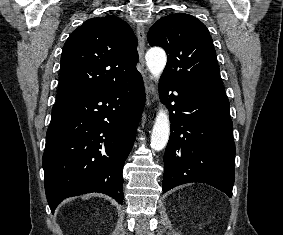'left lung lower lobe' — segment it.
Here are the masks:
<instances>
[{
    "label": "left lung lower lobe",
    "instance_id": "0a47b994",
    "mask_svg": "<svg viewBox=\"0 0 283 235\" xmlns=\"http://www.w3.org/2000/svg\"><path fill=\"white\" fill-rule=\"evenodd\" d=\"M160 98L169 109L171 121L163 193L178 185L200 182L231 197L235 145L227 96L205 93L162 76Z\"/></svg>",
    "mask_w": 283,
    "mask_h": 235
}]
</instances>
